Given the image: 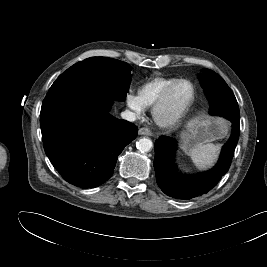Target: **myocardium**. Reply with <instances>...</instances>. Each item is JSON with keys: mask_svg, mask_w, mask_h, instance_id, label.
<instances>
[{"mask_svg": "<svg viewBox=\"0 0 267 267\" xmlns=\"http://www.w3.org/2000/svg\"><path fill=\"white\" fill-rule=\"evenodd\" d=\"M183 83H186L191 87V97H190L189 101L175 117L163 118L161 116V109L168 102L174 89L178 85L183 84ZM195 94H196L195 87L191 81H189L187 79H179V80L175 81L174 83L169 85L162 92V94L158 97V99L153 104L152 115H153L154 120L157 122V124H159L160 126L165 127V128H173V127L179 126L182 123V121L184 120V118L186 117L187 113L189 112V110H190V108H191V106L195 100Z\"/></svg>", "mask_w": 267, "mask_h": 267, "instance_id": "obj_1", "label": "myocardium"}]
</instances>
